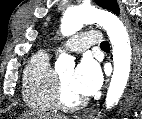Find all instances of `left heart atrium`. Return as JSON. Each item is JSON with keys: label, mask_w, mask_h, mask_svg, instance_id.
Masks as SVG:
<instances>
[{"label": "left heart atrium", "mask_w": 142, "mask_h": 119, "mask_svg": "<svg viewBox=\"0 0 142 119\" xmlns=\"http://www.w3.org/2000/svg\"><path fill=\"white\" fill-rule=\"evenodd\" d=\"M102 76L98 66L90 60H82L71 77L72 90L82 97L93 95L101 86Z\"/></svg>", "instance_id": "left-heart-atrium-1"}]
</instances>
